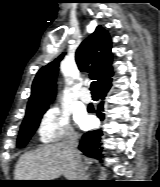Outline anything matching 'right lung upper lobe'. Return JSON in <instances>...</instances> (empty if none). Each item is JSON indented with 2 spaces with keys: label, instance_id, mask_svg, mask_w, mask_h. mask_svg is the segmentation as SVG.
Segmentation results:
<instances>
[{
  "label": "right lung upper lobe",
  "instance_id": "1",
  "mask_svg": "<svg viewBox=\"0 0 160 187\" xmlns=\"http://www.w3.org/2000/svg\"><path fill=\"white\" fill-rule=\"evenodd\" d=\"M112 56L110 36L104 28L97 26L95 32L78 47L76 63L80 71L90 73V78L96 80L98 86L113 74ZM63 57L64 54L42 67L35 76L26 113L48 109V105L54 100L58 66Z\"/></svg>",
  "mask_w": 160,
  "mask_h": 187
}]
</instances>
